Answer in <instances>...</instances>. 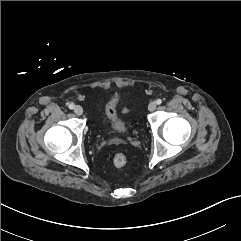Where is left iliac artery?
<instances>
[{
	"mask_svg": "<svg viewBox=\"0 0 241 241\" xmlns=\"http://www.w3.org/2000/svg\"><path fill=\"white\" fill-rule=\"evenodd\" d=\"M156 103H157L158 105H160V104L162 103V100H161V99H157Z\"/></svg>",
	"mask_w": 241,
	"mask_h": 241,
	"instance_id": "44dca946",
	"label": "left iliac artery"
}]
</instances>
